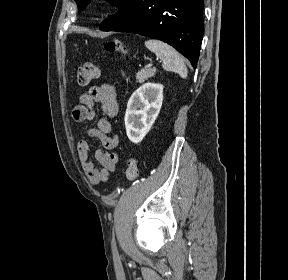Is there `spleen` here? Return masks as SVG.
<instances>
[{"label": "spleen", "instance_id": "spleen-1", "mask_svg": "<svg viewBox=\"0 0 288 280\" xmlns=\"http://www.w3.org/2000/svg\"><path fill=\"white\" fill-rule=\"evenodd\" d=\"M145 46L162 60L163 69L176 72L182 78L187 77L188 70L185 63L173 47L156 39L147 40Z\"/></svg>", "mask_w": 288, "mask_h": 280}]
</instances>
